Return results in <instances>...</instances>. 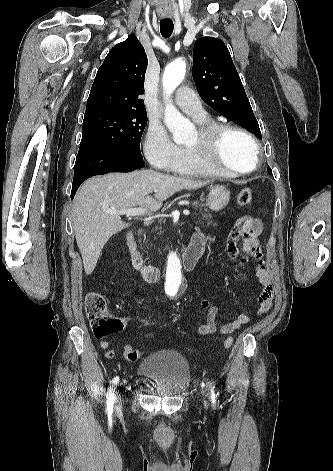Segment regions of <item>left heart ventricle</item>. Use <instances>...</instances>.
<instances>
[{"label": "left heart ventricle", "instance_id": "b2bd125f", "mask_svg": "<svg viewBox=\"0 0 333 471\" xmlns=\"http://www.w3.org/2000/svg\"><path fill=\"white\" fill-rule=\"evenodd\" d=\"M197 141L198 133L193 136L188 146L195 145ZM217 158L221 164L228 168L243 170L252 166L254 150L243 135L237 132H226L220 138Z\"/></svg>", "mask_w": 333, "mask_h": 471}]
</instances>
